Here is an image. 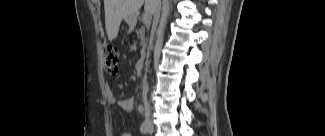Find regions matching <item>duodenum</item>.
<instances>
[{"instance_id":"obj_1","label":"duodenum","mask_w":325,"mask_h":136,"mask_svg":"<svg viewBox=\"0 0 325 136\" xmlns=\"http://www.w3.org/2000/svg\"><path fill=\"white\" fill-rule=\"evenodd\" d=\"M145 67V60H140L136 63L135 71L137 74H141Z\"/></svg>"}]
</instances>
